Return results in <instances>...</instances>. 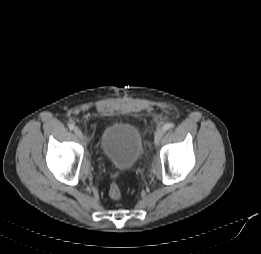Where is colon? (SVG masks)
<instances>
[{
  "mask_svg": "<svg viewBox=\"0 0 261 254\" xmlns=\"http://www.w3.org/2000/svg\"><path fill=\"white\" fill-rule=\"evenodd\" d=\"M116 177H117L116 174H114L112 176V181H111V184H110L109 190H108L110 198H112L114 200H117L121 197V190H120L118 184L116 183Z\"/></svg>",
  "mask_w": 261,
  "mask_h": 254,
  "instance_id": "obj_1",
  "label": "colon"
}]
</instances>
